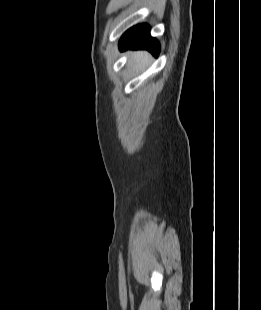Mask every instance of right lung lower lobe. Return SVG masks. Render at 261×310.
<instances>
[{
	"mask_svg": "<svg viewBox=\"0 0 261 310\" xmlns=\"http://www.w3.org/2000/svg\"><path fill=\"white\" fill-rule=\"evenodd\" d=\"M119 47L121 50L128 48L146 49L153 55L158 56L160 46L155 38L149 34V26L147 24L137 25L129 29L121 38Z\"/></svg>",
	"mask_w": 261,
	"mask_h": 310,
	"instance_id": "right-lung-lower-lobe-1",
	"label": "right lung lower lobe"
}]
</instances>
